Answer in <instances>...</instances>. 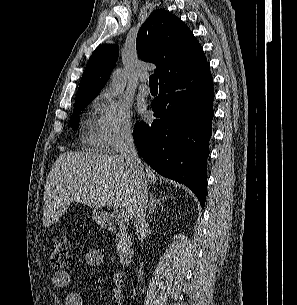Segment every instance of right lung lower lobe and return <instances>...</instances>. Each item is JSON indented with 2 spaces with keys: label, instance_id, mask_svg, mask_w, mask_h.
<instances>
[{
  "label": "right lung lower lobe",
  "instance_id": "obj_1",
  "mask_svg": "<svg viewBox=\"0 0 297 305\" xmlns=\"http://www.w3.org/2000/svg\"><path fill=\"white\" fill-rule=\"evenodd\" d=\"M214 90L209 64L159 83L151 103L155 119L133 131L138 154L155 171L206 200L208 143L212 135Z\"/></svg>",
  "mask_w": 297,
  "mask_h": 305
}]
</instances>
